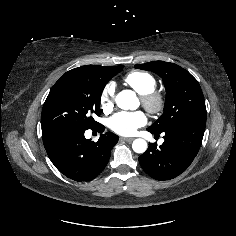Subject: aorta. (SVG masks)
I'll use <instances>...</instances> for the list:
<instances>
[{"mask_svg": "<svg viewBox=\"0 0 236 236\" xmlns=\"http://www.w3.org/2000/svg\"><path fill=\"white\" fill-rule=\"evenodd\" d=\"M133 98L132 92L129 90L121 91L115 98V102L118 107L124 109L129 108V103ZM132 149L136 153H144L147 150V142L144 139H135L132 143Z\"/></svg>", "mask_w": 236, "mask_h": 236, "instance_id": "aorta-1", "label": "aorta"}]
</instances>
